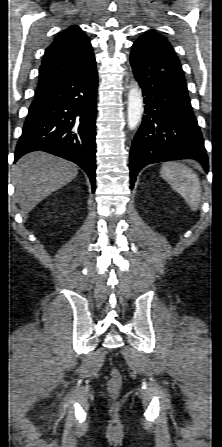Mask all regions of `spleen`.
<instances>
[{
  "instance_id": "1",
  "label": "spleen",
  "mask_w": 222,
  "mask_h": 447,
  "mask_svg": "<svg viewBox=\"0 0 222 447\" xmlns=\"http://www.w3.org/2000/svg\"><path fill=\"white\" fill-rule=\"evenodd\" d=\"M161 175L184 198L191 210L196 211L201 198L197 174L186 165L171 161L162 165Z\"/></svg>"
}]
</instances>
